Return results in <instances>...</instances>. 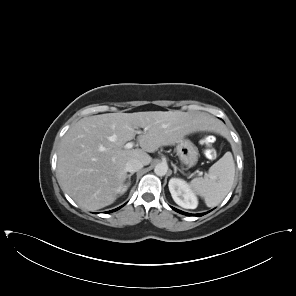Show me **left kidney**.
<instances>
[{
	"instance_id": "5707ae66",
	"label": "left kidney",
	"mask_w": 296,
	"mask_h": 296,
	"mask_svg": "<svg viewBox=\"0 0 296 296\" xmlns=\"http://www.w3.org/2000/svg\"><path fill=\"white\" fill-rule=\"evenodd\" d=\"M168 187L177 205L185 209H195L198 206V199L185 180L171 178Z\"/></svg>"
}]
</instances>
